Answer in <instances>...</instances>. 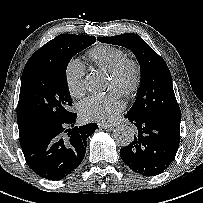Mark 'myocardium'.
Segmentation results:
<instances>
[{
	"instance_id": "1",
	"label": "myocardium",
	"mask_w": 203,
	"mask_h": 203,
	"mask_svg": "<svg viewBox=\"0 0 203 203\" xmlns=\"http://www.w3.org/2000/svg\"><path fill=\"white\" fill-rule=\"evenodd\" d=\"M124 70L130 71V82L124 91L126 96H130L135 93L140 85L141 81V68L138 61L132 57H123L116 65L109 71L111 77L119 75Z\"/></svg>"
}]
</instances>
